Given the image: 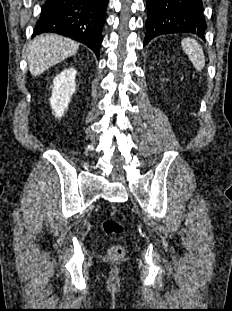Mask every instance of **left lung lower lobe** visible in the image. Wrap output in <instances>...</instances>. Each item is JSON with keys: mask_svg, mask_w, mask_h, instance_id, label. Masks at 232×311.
<instances>
[{"mask_svg": "<svg viewBox=\"0 0 232 311\" xmlns=\"http://www.w3.org/2000/svg\"><path fill=\"white\" fill-rule=\"evenodd\" d=\"M144 45L161 34L194 33L204 39L202 0H147Z\"/></svg>", "mask_w": 232, "mask_h": 311, "instance_id": "0a47b994", "label": "left lung lower lobe"}]
</instances>
